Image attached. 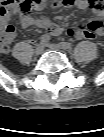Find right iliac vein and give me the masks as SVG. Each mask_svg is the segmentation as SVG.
Returning a JSON list of instances; mask_svg holds the SVG:
<instances>
[{
	"label": "right iliac vein",
	"instance_id": "63e3f726",
	"mask_svg": "<svg viewBox=\"0 0 104 137\" xmlns=\"http://www.w3.org/2000/svg\"><path fill=\"white\" fill-rule=\"evenodd\" d=\"M42 51H43V46L42 45H37L36 48H35V50H34V53L36 55H39V54L42 53Z\"/></svg>",
	"mask_w": 104,
	"mask_h": 137
}]
</instances>
